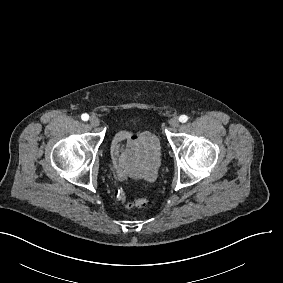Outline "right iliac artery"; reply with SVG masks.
Listing matches in <instances>:
<instances>
[{
    "mask_svg": "<svg viewBox=\"0 0 283 283\" xmlns=\"http://www.w3.org/2000/svg\"><path fill=\"white\" fill-rule=\"evenodd\" d=\"M81 118H82L83 121H87L89 119V115L86 114V113L82 114Z\"/></svg>",
    "mask_w": 283,
    "mask_h": 283,
    "instance_id": "right-iliac-artery-1",
    "label": "right iliac artery"
}]
</instances>
